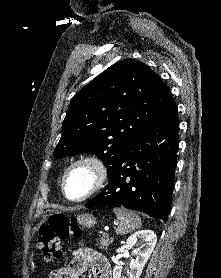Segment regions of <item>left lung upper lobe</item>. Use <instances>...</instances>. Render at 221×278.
I'll list each match as a JSON object with an SVG mask.
<instances>
[{"label": "left lung upper lobe", "mask_w": 221, "mask_h": 278, "mask_svg": "<svg viewBox=\"0 0 221 278\" xmlns=\"http://www.w3.org/2000/svg\"><path fill=\"white\" fill-rule=\"evenodd\" d=\"M174 103L168 87L147 65L119 61L73 97L53 154L95 153L109 175L125 148Z\"/></svg>", "instance_id": "1"}]
</instances>
